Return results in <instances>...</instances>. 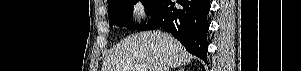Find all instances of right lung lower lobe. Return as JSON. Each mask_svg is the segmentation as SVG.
<instances>
[{"mask_svg": "<svg viewBox=\"0 0 301 71\" xmlns=\"http://www.w3.org/2000/svg\"><path fill=\"white\" fill-rule=\"evenodd\" d=\"M208 0H156L151 19L142 30L160 27L171 33L186 50L207 63Z\"/></svg>", "mask_w": 301, "mask_h": 71, "instance_id": "1", "label": "right lung lower lobe"}]
</instances>
